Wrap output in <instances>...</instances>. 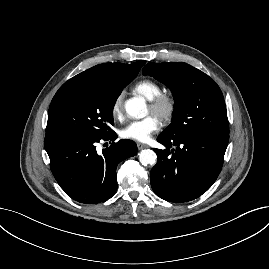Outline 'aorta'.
Segmentation results:
<instances>
[{"label": "aorta", "instance_id": "obj_1", "mask_svg": "<svg viewBox=\"0 0 269 269\" xmlns=\"http://www.w3.org/2000/svg\"><path fill=\"white\" fill-rule=\"evenodd\" d=\"M126 112L134 118H143L147 114V107L145 100L141 97H134L126 101L125 103ZM139 161L142 165H155L156 155L151 150H142L139 153Z\"/></svg>", "mask_w": 269, "mask_h": 269}]
</instances>
